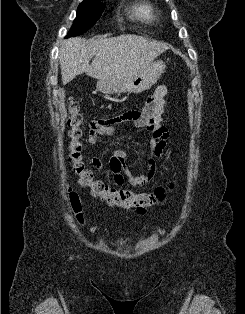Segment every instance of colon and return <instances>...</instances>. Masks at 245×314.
Masks as SVG:
<instances>
[{"label": "colon", "mask_w": 245, "mask_h": 314, "mask_svg": "<svg viewBox=\"0 0 245 314\" xmlns=\"http://www.w3.org/2000/svg\"><path fill=\"white\" fill-rule=\"evenodd\" d=\"M68 112V136L70 138L68 160L72 165L73 172L78 177V184L80 186L89 188L93 196L105 201L109 205L136 208L139 213H144L147 209L164 200L167 191L164 187H158L151 192L136 193L127 189H117L96 179L93 171L85 165L82 156L83 145L81 138L83 135L82 126L84 116L79 103L70 101ZM69 199L77 221L83 224L84 215L79 195L70 190Z\"/></svg>", "instance_id": "5ec220e1"}]
</instances>
